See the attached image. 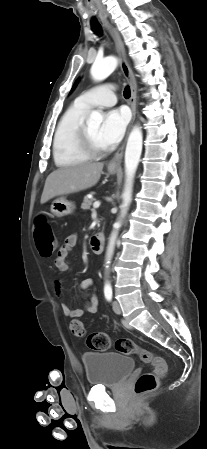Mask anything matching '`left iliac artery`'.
<instances>
[{
    "label": "left iliac artery",
    "mask_w": 207,
    "mask_h": 449,
    "mask_svg": "<svg viewBox=\"0 0 207 449\" xmlns=\"http://www.w3.org/2000/svg\"><path fill=\"white\" fill-rule=\"evenodd\" d=\"M104 295L107 301L112 300V287L110 285L104 287Z\"/></svg>",
    "instance_id": "1"
}]
</instances>
